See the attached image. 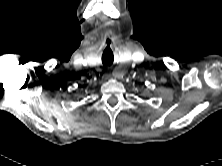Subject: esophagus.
Instances as JSON below:
<instances>
[{
    "label": "esophagus",
    "instance_id": "34e87169",
    "mask_svg": "<svg viewBox=\"0 0 222 166\" xmlns=\"http://www.w3.org/2000/svg\"><path fill=\"white\" fill-rule=\"evenodd\" d=\"M121 75H122V73H119V72H115L113 74V76L116 77V78H120Z\"/></svg>",
    "mask_w": 222,
    "mask_h": 166
}]
</instances>
